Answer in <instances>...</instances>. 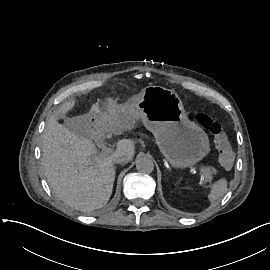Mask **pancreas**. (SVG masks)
Listing matches in <instances>:
<instances>
[{"instance_id": "cf45deb5", "label": "pancreas", "mask_w": 270, "mask_h": 270, "mask_svg": "<svg viewBox=\"0 0 270 270\" xmlns=\"http://www.w3.org/2000/svg\"><path fill=\"white\" fill-rule=\"evenodd\" d=\"M216 173V169L215 168H206L203 170V174H204V183H207L211 180L212 175Z\"/></svg>"}]
</instances>
